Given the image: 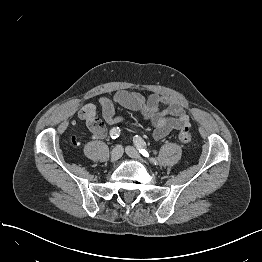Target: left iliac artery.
I'll return each mask as SVG.
<instances>
[{
	"label": "left iliac artery",
	"mask_w": 262,
	"mask_h": 262,
	"mask_svg": "<svg viewBox=\"0 0 262 262\" xmlns=\"http://www.w3.org/2000/svg\"><path fill=\"white\" fill-rule=\"evenodd\" d=\"M134 144L136 148L139 150V152L146 158H148L153 164H158L157 160L150 156L149 152L147 151L146 143L145 141L136 135L133 139Z\"/></svg>",
	"instance_id": "44dca946"
}]
</instances>
